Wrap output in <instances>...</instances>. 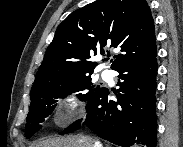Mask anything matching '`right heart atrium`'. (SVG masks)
Segmentation results:
<instances>
[{"mask_svg":"<svg viewBox=\"0 0 183 147\" xmlns=\"http://www.w3.org/2000/svg\"><path fill=\"white\" fill-rule=\"evenodd\" d=\"M77 104H78V99L76 98V96L74 94H71L67 97L66 105L68 106V108H75L77 106ZM58 120L63 121L60 116H58Z\"/></svg>","mask_w":183,"mask_h":147,"instance_id":"1","label":"right heart atrium"}]
</instances>
